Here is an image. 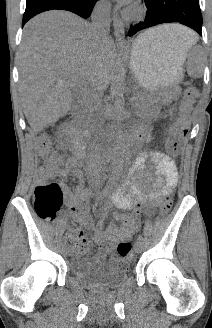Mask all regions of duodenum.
<instances>
[{"mask_svg":"<svg viewBox=\"0 0 212 328\" xmlns=\"http://www.w3.org/2000/svg\"><path fill=\"white\" fill-rule=\"evenodd\" d=\"M66 131L71 138V143H72V149L74 152V155L76 157V160L78 162H81L83 158V152H84V141L82 137L78 134L76 131V128L73 124V122H68L66 125ZM144 136L143 132H139L137 134V138H142Z\"/></svg>","mask_w":212,"mask_h":328,"instance_id":"duodenum-1","label":"duodenum"}]
</instances>
